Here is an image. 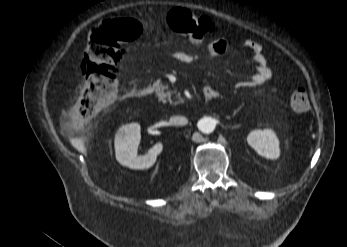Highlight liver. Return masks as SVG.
<instances>
[{"mask_svg": "<svg viewBox=\"0 0 347 247\" xmlns=\"http://www.w3.org/2000/svg\"><path fill=\"white\" fill-rule=\"evenodd\" d=\"M79 147H80V150H81V151L84 150V147H83V144H82V143L79 144Z\"/></svg>", "mask_w": 347, "mask_h": 247, "instance_id": "1", "label": "liver"}]
</instances>
